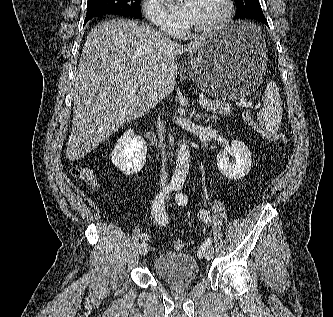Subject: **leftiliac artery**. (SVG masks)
I'll list each match as a JSON object with an SVG mask.
<instances>
[{"label": "left iliac artery", "mask_w": 333, "mask_h": 317, "mask_svg": "<svg viewBox=\"0 0 333 317\" xmlns=\"http://www.w3.org/2000/svg\"><path fill=\"white\" fill-rule=\"evenodd\" d=\"M174 190L177 192L175 196V200L178 203V205L186 206L188 204V196L184 193L181 192L182 190V185L177 184L174 187ZM200 218L205 222V223H211V216L208 211L206 210H201L200 211ZM212 242L211 237L208 238L199 248L198 250V257L203 258L205 256L206 250L210 247ZM214 252V249H213Z\"/></svg>", "instance_id": "obj_1"}]
</instances>
